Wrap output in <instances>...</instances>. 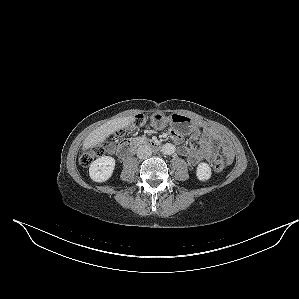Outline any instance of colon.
Wrapping results in <instances>:
<instances>
[{"instance_id": "5ec220e1", "label": "colon", "mask_w": 299, "mask_h": 299, "mask_svg": "<svg viewBox=\"0 0 299 299\" xmlns=\"http://www.w3.org/2000/svg\"><path fill=\"white\" fill-rule=\"evenodd\" d=\"M145 122V119L143 117H137L134 122L132 123L131 128L132 129H138L140 128L143 123ZM126 134V129H121L118 132V135L123 136ZM188 141L193 148H200L201 146V136L197 132H192L188 136ZM104 154V146L103 145H97L94 146L87 151H85L81 157L80 162L83 166H89L96 158L102 156ZM213 168L216 172H221L225 169V161L220 155H216L214 161H213Z\"/></svg>"}]
</instances>
